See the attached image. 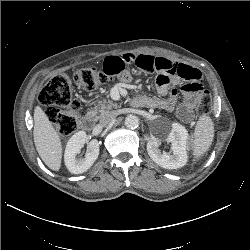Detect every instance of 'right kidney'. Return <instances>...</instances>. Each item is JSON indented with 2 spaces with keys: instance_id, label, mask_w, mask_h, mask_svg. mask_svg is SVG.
Segmentation results:
<instances>
[{
  "instance_id": "1",
  "label": "right kidney",
  "mask_w": 250,
  "mask_h": 250,
  "mask_svg": "<svg viewBox=\"0 0 250 250\" xmlns=\"http://www.w3.org/2000/svg\"><path fill=\"white\" fill-rule=\"evenodd\" d=\"M86 133L79 131L75 133L67 142L64 161L67 169L73 174H81L86 172L96 161L99 155V143L96 139H92L88 143V149L84 158H77L81 148L86 142Z\"/></svg>"
}]
</instances>
